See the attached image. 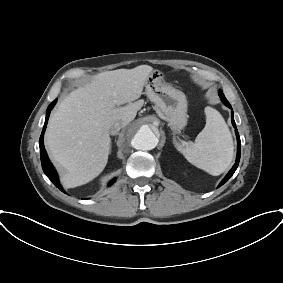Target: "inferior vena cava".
Wrapping results in <instances>:
<instances>
[{
    "mask_svg": "<svg viewBox=\"0 0 283 283\" xmlns=\"http://www.w3.org/2000/svg\"><path fill=\"white\" fill-rule=\"evenodd\" d=\"M125 126V124L122 121H117L115 122L111 127H110V134L111 135H115L117 134L123 127Z\"/></svg>",
    "mask_w": 283,
    "mask_h": 283,
    "instance_id": "obj_1",
    "label": "inferior vena cava"
}]
</instances>
